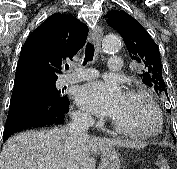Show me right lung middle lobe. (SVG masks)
<instances>
[{
	"mask_svg": "<svg viewBox=\"0 0 177 169\" xmlns=\"http://www.w3.org/2000/svg\"><path fill=\"white\" fill-rule=\"evenodd\" d=\"M44 92L54 98H56L57 96L62 97L60 90L56 89L55 81L49 82L46 87H44Z\"/></svg>",
	"mask_w": 177,
	"mask_h": 169,
	"instance_id": "dd1d6c3e",
	"label": "right lung middle lobe"
}]
</instances>
